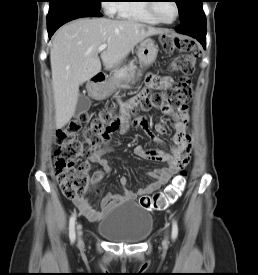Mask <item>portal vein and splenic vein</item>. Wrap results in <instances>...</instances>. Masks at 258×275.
I'll list each match as a JSON object with an SVG mask.
<instances>
[{
	"label": "portal vein and splenic vein",
	"instance_id": "obj_1",
	"mask_svg": "<svg viewBox=\"0 0 258 275\" xmlns=\"http://www.w3.org/2000/svg\"><path fill=\"white\" fill-rule=\"evenodd\" d=\"M106 48H107V44H102L98 47V49L96 50L95 53L98 54V53L104 51Z\"/></svg>",
	"mask_w": 258,
	"mask_h": 275
}]
</instances>
